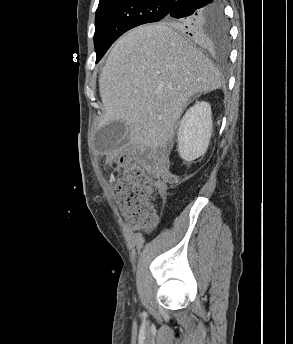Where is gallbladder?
I'll return each instance as SVG.
<instances>
[{"mask_svg":"<svg viewBox=\"0 0 293 344\" xmlns=\"http://www.w3.org/2000/svg\"><path fill=\"white\" fill-rule=\"evenodd\" d=\"M126 131L123 121H112L99 129L95 137L96 149L101 153H107L119 145Z\"/></svg>","mask_w":293,"mask_h":344,"instance_id":"bac80fb5","label":"gallbladder"}]
</instances>
